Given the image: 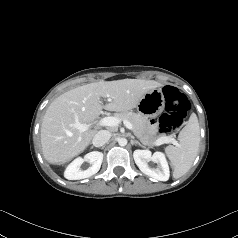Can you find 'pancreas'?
I'll return each mask as SVG.
<instances>
[{"mask_svg": "<svg viewBox=\"0 0 238 238\" xmlns=\"http://www.w3.org/2000/svg\"><path fill=\"white\" fill-rule=\"evenodd\" d=\"M115 117L120 119L121 121H128L133 125V132L134 134L146 145H154L158 139L163 138L164 136H159L155 140H150L145 135V125H146V118L140 114L133 113V112H121L116 113Z\"/></svg>", "mask_w": 238, "mask_h": 238, "instance_id": "cf45deb5", "label": "pancreas"}]
</instances>
